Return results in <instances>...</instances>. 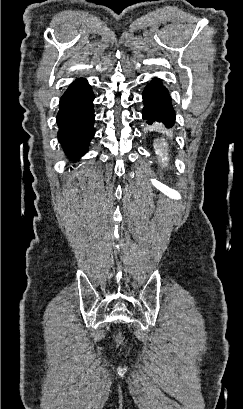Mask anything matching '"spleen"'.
<instances>
[{"label":"spleen","mask_w":243,"mask_h":409,"mask_svg":"<svg viewBox=\"0 0 243 409\" xmlns=\"http://www.w3.org/2000/svg\"><path fill=\"white\" fill-rule=\"evenodd\" d=\"M167 146L168 145L164 140H163L162 146H157V145L155 146V152L160 157L162 162L168 161V157H167L166 150H165Z\"/></svg>","instance_id":"spleen-1"}]
</instances>
